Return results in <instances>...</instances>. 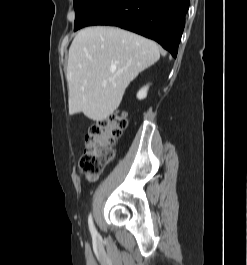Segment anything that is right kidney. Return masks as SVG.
Returning a JSON list of instances; mask_svg holds the SVG:
<instances>
[{
    "label": "right kidney",
    "instance_id": "right-kidney-1",
    "mask_svg": "<svg viewBox=\"0 0 247 265\" xmlns=\"http://www.w3.org/2000/svg\"><path fill=\"white\" fill-rule=\"evenodd\" d=\"M147 91H148V86H144L143 88H141L137 93V98L140 100L144 99L147 96Z\"/></svg>",
    "mask_w": 247,
    "mask_h": 265
}]
</instances>
